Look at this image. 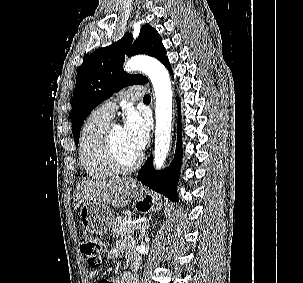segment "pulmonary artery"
Listing matches in <instances>:
<instances>
[{"label": "pulmonary artery", "instance_id": "e3ab8cb5", "mask_svg": "<svg viewBox=\"0 0 303 283\" xmlns=\"http://www.w3.org/2000/svg\"><path fill=\"white\" fill-rule=\"evenodd\" d=\"M145 88L142 86H130L123 89L119 95L111 101L103 103L98 109L106 116L112 118L119 105L120 100L137 101L144 97Z\"/></svg>", "mask_w": 303, "mask_h": 283}]
</instances>
